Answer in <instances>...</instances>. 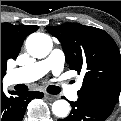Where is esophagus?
<instances>
[{
	"instance_id": "esophagus-1",
	"label": "esophagus",
	"mask_w": 121,
	"mask_h": 121,
	"mask_svg": "<svg viewBox=\"0 0 121 121\" xmlns=\"http://www.w3.org/2000/svg\"><path fill=\"white\" fill-rule=\"evenodd\" d=\"M45 98L48 99V100H50V101H52V100L56 99V96L46 93L45 94Z\"/></svg>"
}]
</instances>
